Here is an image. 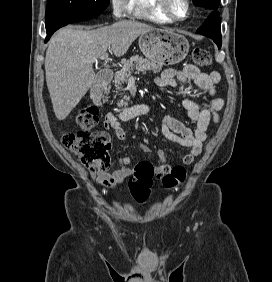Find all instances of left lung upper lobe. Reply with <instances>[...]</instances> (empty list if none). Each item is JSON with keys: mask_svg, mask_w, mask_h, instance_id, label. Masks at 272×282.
Listing matches in <instances>:
<instances>
[{"mask_svg": "<svg viewBox=\"0 0 272 282\" xmlns=\"http://www.w3.org/2000/svg\"><path fill=\"white\" fill-rule=\"evenodd\" d=\"M220 0H193V3L197 6L204 7L211 11L218 8Z\"/></svg>", "mask_w": 272, "mask_h": 282, "instance_id": "obj_1", "label": "left lung upper lobe"}]
</instances>
